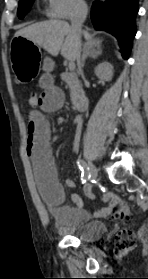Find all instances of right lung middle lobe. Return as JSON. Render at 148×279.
Instances as JSON below:
<instances>
[{
	"mask_svg": "<svg viewBox=\"0 0 148 279\" xmlns=\"http://www.w3.org/2000/svg\"><path fill=\"white\" fill-rule=\"evenodd\" d=\"M34 0H19L18 6V17L22 19L26 13L29 11L30 7L32 6Z\"/></svg>",
	"mask_w": 148,
	"mask_h": 279,
	"instance_id": "dd1d6c3e",
	"label": "right lung middle lobe"
}]
</instances>
